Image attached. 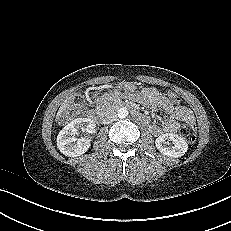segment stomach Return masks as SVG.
Wrapping results in <instances>:
<instances>
[{"instance_id":"0dacf381","label":"stomach","mask_w":231,"mask_h":231,"mask_svg":"<svg viewBox=\"0 0 231 231\" xmlns=\"http://www.w3.org/2000/svg\"><path fill=\"white\" fill-rule=\"evenodd\" d=\"M122 88L126 91H133L136 89V86L133 83H124Z\"/></svg>"}]
</instances>
